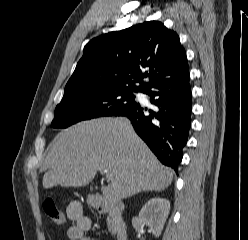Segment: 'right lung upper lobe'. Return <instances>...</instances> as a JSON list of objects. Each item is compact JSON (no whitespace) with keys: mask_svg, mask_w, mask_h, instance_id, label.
Instances as JSON below:
<instances>
[{"mask_svg":"<svg viewBox=\"0 0 248 240\" xmlns=\"http://www.w3.org/2000/svg\"><path fill=\"white\" fill-rule=\"evenodd\" d=\"M186 70V52L178 34L159 21H148L87 43L65 90L104 88L144 92ZM135 82L140 86H135Z\"/></svg>","mask_w":248,"mask_h":240,"instance_id":"right-lung-upper-lobe-1","label":"right lung upper lobe"}]
</instances>
